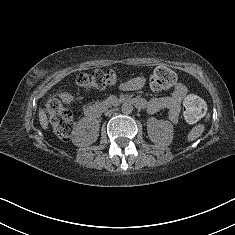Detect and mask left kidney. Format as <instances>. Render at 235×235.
Returning <instances> with one entry per match:
<instances>
[{
	"mask_svg": "<svg viewBox=\"0 0 235 235\" xmlns=\"http://www.w3.org/2000/svg\"><path fill=\"white\" fill-rule=\"evenodd\" d=\"M173 125L168 120L155 117L147 119V133L150 140L159 146H169L173 140Z\"/></svg>",
	"mask_w": 235,
	"mask_h": 235,
	"instance_id": "obj_1",
	"label": "left kidney"
}]
</instances>
